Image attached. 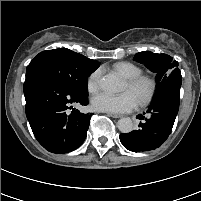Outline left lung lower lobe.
I'll use <instances>...</instances> for the list:
<instances>
[{
    "label": "left lung lower lobe",
    "mask_w": 201,
    "mask_h": 201,
    "mask_svg": "<svg viewBox=\"0 0 201 201\" xmlns=\"http://www.w3.org/2000/svg\"><path fill=\"white\" fill-rule=\"evenodd\" d=\"M180 92L169 90L154 99L147 112L139 114V129L120 135L123 146L132 152H144L160 147L171 133L179 110Z\"/></svg>",
    "instance_id": "left-lung-lower-lobe-1"
}]
</instances>
